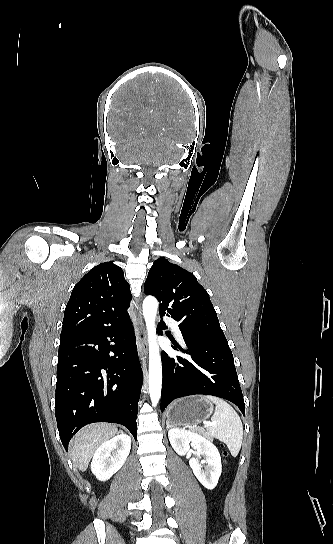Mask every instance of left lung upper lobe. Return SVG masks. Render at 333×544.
<instances>
[{
  "mask_svg": "<svg viewBox=\"0 0 333 544\" xmlns=\"http://www.w3.org/2000/svg\"><path fill=\"white\" fill-rule=\"evenodd\" d=\"M144 291L160 302V314L167 311L180 322L182 333L225 338L209 294L187 270L159 258L148 272Z\"/></svg>",
  "mask_w": 333,
  "mask_h": 544,
  "instance_id": "left-lung-upper-lobe-1",
  "label": "left lung upper lobe"
}]
</instances>
